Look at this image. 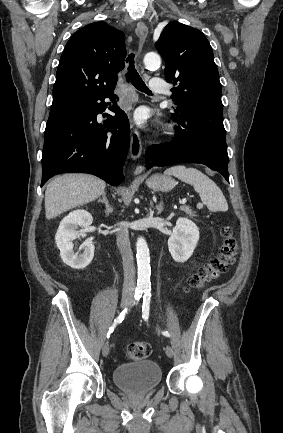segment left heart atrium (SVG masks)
Masks as SVG:
<instances>
[{"label": "left heart atrium", "mask_w": 283, "mask_h": 433, "mask_svg": "<svg viewBox=\"0 0 283 433\" xmlns=\"http://www.w3.org/2000/svg\"><path fill=\"white\" fill-rule=\"evenodd\" d=\"M135 120H136V122H137L140 126H144V125H145V117H144V114H143V111H142V110H138V111L135 113Z\"/></svg>", "instance_id": "left-heart-atrium-1"}]
</instances>
